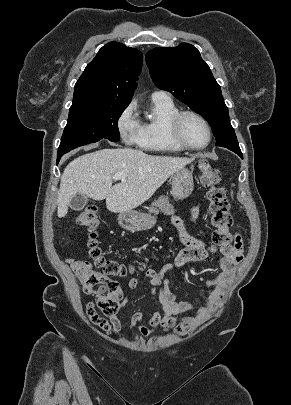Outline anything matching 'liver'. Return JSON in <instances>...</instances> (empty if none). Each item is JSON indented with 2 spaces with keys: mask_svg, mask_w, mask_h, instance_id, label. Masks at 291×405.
Segmentation results:
<instances>
[{
  "mask_svg": "<svg viewBox=\"0 0 291 405\" xmlns=\"http://www.w3.org/2000/svg\"><path fill=\"white\" fill-rule=\"evenodd\" d=\"M193 159L152 156L130 148L102 149L82 155L70 162L60 181L59 218L66 216L70 200L83 194L94 200L106 199L114 213L130 211L147 201L175 172ZM125 178L112 186V176Z\"/></svg>",
  "mask_w": 291,
  "mask_h": 405,
  "instance_id": "liver-1",
  "label": "liver"
}]
</instances>
